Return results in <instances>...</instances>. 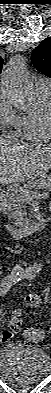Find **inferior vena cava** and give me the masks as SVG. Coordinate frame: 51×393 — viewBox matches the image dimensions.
Returning a JSON list of instances; mask_svg holds the SVG:
<instances>
[{"mask_svg": "<svg viewBox=\"0 0 51 393\" xmlns=\"http://www.w3.org/2000/svg\"><path fill=\"white\" fill-rule=\"evenodd\" d=\"M21 269V266L19 264H16V266L13 268L14 271H19Z\"/></svg>", "mask_w": 51, "mask_h": 393, "instance_id": "inferior-vena-cava-1", "label": "inferior vena cava"}]
</instances>
